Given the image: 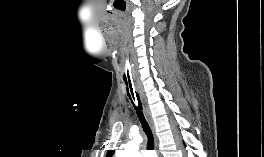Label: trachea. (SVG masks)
<instances>
[{"mask_svg": "<svg viewBox=\"0 0 264 157\" xmlns=\"http://www.w3.org/2000/svg\"><path fill=\"white\" fill-rule=\"evenodd\" d=\"M122 78L126 85V91L127 95L133 104V107L136 110V113L138 115L139 121L141 122L143 131L145 132L147 136V150H153L154 147V138L152 131L143 115L142 112V105L140 102V97L138 93L135 91L134 87V80H133V74H132V68L130 59L127 53L124 54V61H123V69H122Z\"/></svg>", "mask_w": 264, "mask_h": 157, "instance_id": "3493384b", "label": "trachea"}]
</instances>
